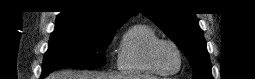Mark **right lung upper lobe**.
Returning a JSON list of instances; mask_svg holds the SVG:
<instances>
[{"instance_id": "right-lung-upper-lobe-1", "label": "right lung upper lobe", "mask_w": 255, "mask_h": 79, "mask_svg": "<svg viewBox=\"0 0 255 79\" xmlns=\"http://www.w3.org/2000/svg\"><path fill=\"white\" fill-rule=\"evenodd\" d=\"M133 14L110 7L103 1L77 0L57 16L56 26L115 31Z\"/></svg>"}]
</instances>
